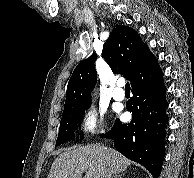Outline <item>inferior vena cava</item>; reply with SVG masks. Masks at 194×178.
<instances>
[{"mask_svg":"<svg viewBox=\"0 0 194 178\" xmlns=\"http://www.w3.org/2000/svg\"><path fill=\"white\" fill-rule=\"evenodd\" d=\"M111 176H112V172H111V169L110 168H106L105 169V172H104V174H103V178H111Z\"/></svg>","mask_w":194,"mask_h":178,"instance_id":"inferior-vena-cava-1","label":"inferior vena cava"}]
</instances>
